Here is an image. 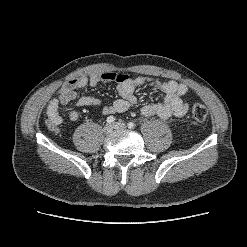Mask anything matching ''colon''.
<instances>
[{
    "instance_id": "obj_1",
    "label": "colon",
    "mask_w": 247,
    "mask_h": 247,
    "mask_svg": "<svg viewBox=\"0 0 247 247\" xmlns=\"http://www.w3.org/2000/svg\"><path fill=\"white\" fill-rule=\"evenodd\" d=\"M208 114L206 106L202 104H195L191 108V116L197 122H203Z\"/></svg>"
}]
</instances>
